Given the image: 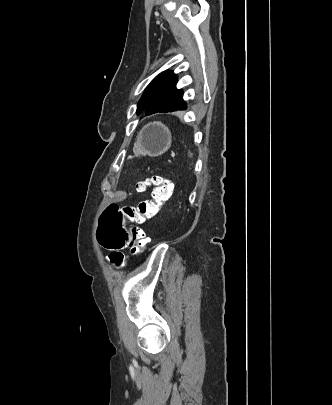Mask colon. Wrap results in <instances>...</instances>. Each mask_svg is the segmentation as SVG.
Here are the masks:
<instances>
[{"label": "colon", "mask_w": 332, "mask_h": 405, "mask_svg": "<svg viewBox=\"0 0 332 405\" xmlns=\"http://www.w3.org/2000/svg\"><path fill=\"white\" fill-rule=\"evenodd\" d=\"M150 185L152 199L141 201L136 207H120L118 202H107L106 211L100 212L96 243H99L100 249H107L109 254H117L112 257V262L117 267H121L124 260L123 255L118 254L120 249L128 248L134 255L145 251L148 239L141 225L147 219L153 218L162 203L172 195L173 183L167 178L152 176L139 182L137 187L139 191H143Z\"/></svg>", "instance_id": "colon-1"}]
</instances>
